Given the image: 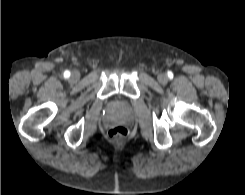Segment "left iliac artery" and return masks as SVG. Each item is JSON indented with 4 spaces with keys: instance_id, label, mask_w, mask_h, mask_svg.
<instances>
[{
    "instance_id": "44dca946",
    "label": "left iliac artery",
    "mask_w": 245,
    "mask_h": 195,
    "mask_svg": "<svg viewBox=\"0 0 245 195\" xmlns=\"http://www.w3.org/2000/svg\"><path fill=\"white\" fill-rule=\"evenodd\" d=\"M168 76L171 78L173 76L172 72H168Z\"/></svg>"
}]
</instances>
